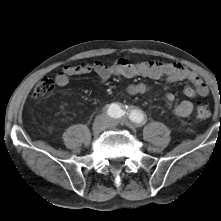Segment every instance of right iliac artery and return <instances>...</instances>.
<instances>
[{
	"label": "right iliac artery",
	"mask_w": 221,
	"mask_h": 221,
	"mask_svg": "<svg viewBox=\"0 0 221 221\" xmlns=\"http://www.w3.org/2000/svg\"><path fill=\"white\" fill-rule=\"evenodd\" d=\"M106 113L110 117L119 118L125 114L118 104H111L107 107Z\"/></svg>",
	"instance_id": "right-iliac-artery-1"
}]
</instances>
